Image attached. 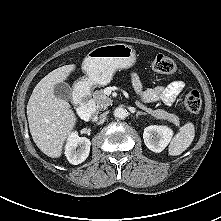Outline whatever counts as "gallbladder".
Wrapping results in <instances>:
<instances>
[{
    "mask_svg": "<svg viewBox=\"0 0 221 221\" xmlns=\"http://www.w3.org/2000/svg\"><path fill=\"white\" fill-rule=\"evenodd\" d=\"M54 94L57 98L68 101L72 99V88L65 82L54 86Z\"/></svg>",
    "mask_w": 221,
    "mask_h": 221,
    "instance_id": "1",
    "label": "gallbladder"
}]
</instances>
